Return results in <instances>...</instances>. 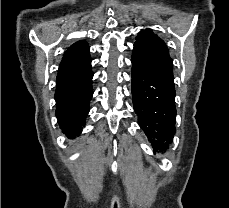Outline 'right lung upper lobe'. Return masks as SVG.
I'll list each match as a JSON object with an SVG mask.
<instances>
[{"instance_id": "obj_1", "label": "right lung upper lobe", "mask_w": 229, "mask_h": 208, "mask_svg": "<svg viewBox=\"0 0 229 208\" xmlns=\"http://www.w3.org/2000/svg\"><path fill=\"white\" fill-rule=\"evenodd\" d=\"M90 63L89 47L85 40L71 45L59 65L56 87L85 74Z\"/></svg>"}]
</instances>
